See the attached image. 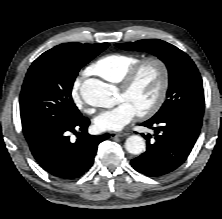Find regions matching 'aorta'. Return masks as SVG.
<instances>
[{
    "mask_svg": "<svg viewBox=\"0 0 222 219\" xmlns=\"http://www.w3.org/2000/svg\"><path fill=\"white\" fill-rule=\"evenodd\" d=\"M82 99L90 106L109 108L114 104V91L111 86L99 79L85 80L80 88ZM126 150L134 155L145 150V141L139 135H132L126 139Z\"/></svg>",
    "mask_w": 222,
    "mask_h": 219,
    "instance_id": "obj_1",
    "label": "aorta"
}]
</instances>
